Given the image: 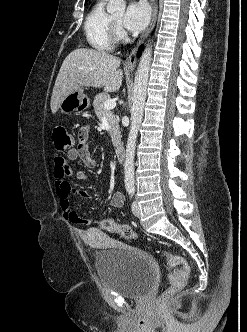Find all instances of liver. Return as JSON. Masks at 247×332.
<instances>
[{"mask_svg":"<svg viewBox=\"0 0 247 332\" xmlns=\"http://www.w3.org/2000/svg\"><path fill=\"white\" fill-rule=\"evenodd\" d=\"M121 60L107 52L78 48L63 61L55 81L51 97L53 114L61 101L70 93L83 87L104 88L105 92L120 89L123 71L119 69Z\"/></svg>","mask_w":247,"mask_h":332,"instance_id":"liver-1","label":"liver"}]
</instances>
